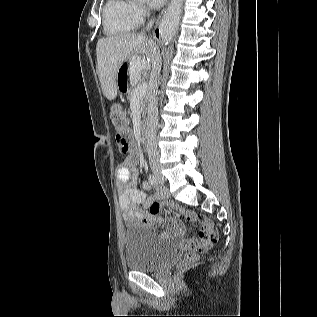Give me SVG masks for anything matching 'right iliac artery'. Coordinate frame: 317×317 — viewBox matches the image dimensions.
I'll return each instance as SVG.
<instances>
[{"label": "right iliac artery", "mask_w": 317, "mask_h": 317, "mask_svg": "<svg viewBox=\"0 0 317 317\" xmlns=\"http://www.w3.org/2000/svg\"><path fill=\"white\" fill-rule=\"evenodd\" d=\"M148 179H149V182L152 185H157L158 184L157 177L154 174H150Z\"/></svg>", "instance_id": "obj_1"}]
</instances>
